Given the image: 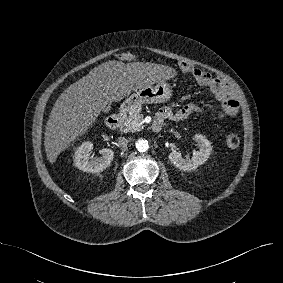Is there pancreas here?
Here are the masks:
<instances>
[{
  "label": "pancreas",
  "mask_w": 283,
  "mask_h": 283,
  "mask_svg": "<svg viewBox=\"0 0 283 283\" xmlns=\"http://www.w3.org/2000/svg\"><path fill=\"white\" fill-rule=\"evenodd\" d=\"M141 106L136 107L133 109L127 119L125 120L124 124L121 127V131L124 133L127 132H137L141 130V121L143 120V115L140 114Z\"/></svg>",
  "instance_id": "obj_1"
}]
</instances>
